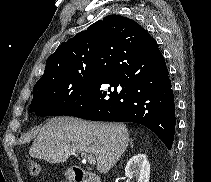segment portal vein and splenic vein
<instances>
[{
	"mask_svg": "<svg viewBox=\"0 0 211 182\" xmlns=\"http://www.w3.org/2000/svg\"><path fill=\"white\" fill-rule=\"evenodd\" d=\"M87 159H88L89 163H91V164H95L96 163V158L92 154L91 155H88L87 156Z\"/></svg>",
	"mask_w": 211,
	"mask_h": 182,
	"instance_id": "obj_1",
	"label": "portal vein and splenic vein"
}]
</instances>
